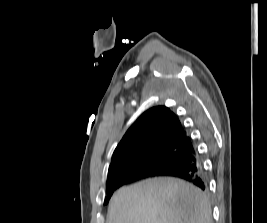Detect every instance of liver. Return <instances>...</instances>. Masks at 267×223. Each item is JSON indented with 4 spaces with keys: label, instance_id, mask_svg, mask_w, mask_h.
<instances>
[{
    "label": "liver",
    "instance_id": "1",
    "mask_svg": "<svg viewBox=\"0 0 267 223\" xmlns=\"http://www.w3.org/2000/svg\"><path fill=\"white\" fill-rule=\"evenodd\" d=\"M106 223H211L205 194L175 178H153L120 188Z\"/></svg>",
    "mask_w": 267,
    "mask_h": 223
}]
</instances>
